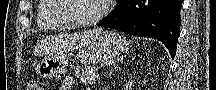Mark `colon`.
Returning a JSON list of instances; mask_svg holds the SVG:
<instances>
[{
	"instance_id": "colon-1",
	"label": "colon",
	"mask_w": 216,
	"mask_h": 90,
	"mask_svg": "<svg viewBox=\"0 0 216 90\" xmlns=\"http://www.w3.org/2000/svg\"><path fill=\"white\" fill-rule=\"evenodd\" d=\"M26 90H41V88L36 81H29Z\"/></svg>"
}]
</instances>
